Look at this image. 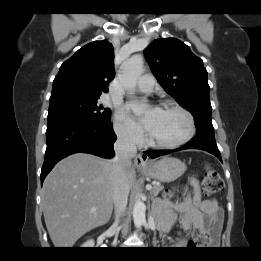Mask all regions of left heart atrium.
Masks as SVG:
<instances>
[{"instance_id": "39dd6f15", "label": "left heart atrium", "mask_w": 261, "mask_h": 261, "mask_svg": "<svg viewBox=\"0 0 261 261\" xmlns=\"http://www.w3.org/2000/svg\"><path fill=\"white\" fill-rule=\"evenodd\" d=\"M129 110H133L135 108V104H129L127 106ZM160 114V109L153 108L149 110L143 117L139 119L141 126L147 131L150 132Z\"/></svg>"}]
</instances>
